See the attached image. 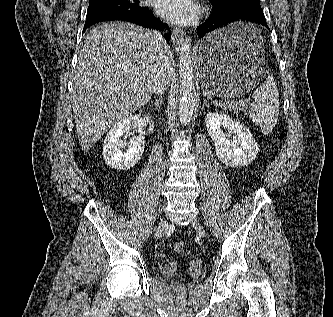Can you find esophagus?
Returning a JSON list of instances; mask_svg holds the SVG:
<instances>
[{
  "instance_id": "1",
  "label": "esophagus",
  "mask_w": 333,
  "mask_h": 317,
  "mask_svg": "<svg viewBox=\"0 0 333 317\" xmlns=\"http://www.w3.org/2000/svg\"><path fill=\"white\" fill-rule=\"evenodd\" d=\"M171 38H172L174 47L176 48V50H179L182 45L183 38H184L183 31L180 29H174L172 31Z\"/></svg>"
}]
</instances>
